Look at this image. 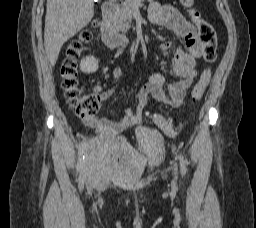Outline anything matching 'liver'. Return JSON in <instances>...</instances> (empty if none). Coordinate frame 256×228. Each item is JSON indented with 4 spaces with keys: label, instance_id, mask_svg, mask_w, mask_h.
Listing matches in <instances>:
<instances>
[{
    "label": "liver",
    "instance_id": "liver-1",
    "mask_svg": "<svg viewBox=\"0 0 256 228\" xmlns=\"http://www.w3.org/2000/svg\"><path fill=\"white\" fill-rule=\"evenodd\" d=\"M93 16L94 0H47L44 46L52 66L63 44L87 26Z\"/></svg>",
    "mask_w": 256,
    "mask_h": 228
}]
</instances>
